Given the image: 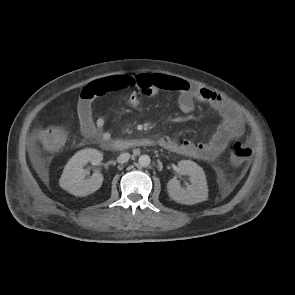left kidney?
Wrapping results in <instances>:
<instances>
[{"label":"left kidney","mask_w":295,"mask_h":295,"mask_svg":"<svg viewBox=\"0 0 295 295\" xmlns=\"http://www.w3.org/2000/svg\"><path fill=\"white\" fill-rule=\"evenodd\" d=\"M178 168L182 174L190 176L191 184L183 188L177 179H170L167 184L169 196L177 203L186 205L205 201L208 197V186L203 169L190 160L180 161Z\"/></svg>","instance_id":"5707ae66"}]
</instances>
